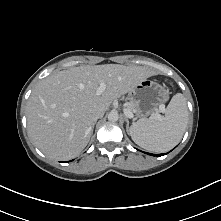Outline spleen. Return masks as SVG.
Segmentation results:
<instances>
[{"instance_id":"3e777b00","label":"spleen","mask_w":221,"mask_h":221,"mask_svg":"<svg viewBox=\"0 0 221 221\" xmlns=\"http://www.w3.org/2000/svg\"><path fill=\"white\" fill-rule=\"evenodd\" d=\"M188 122V108L181 93L175 94L160 120L141 118L128 134L140 147L153 152H166L181 140Z\"/></svg>"}]
</instances>
